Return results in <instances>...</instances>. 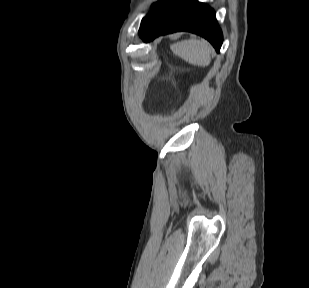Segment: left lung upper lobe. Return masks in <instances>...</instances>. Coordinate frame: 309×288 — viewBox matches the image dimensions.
Returning <instances> with one entry per match:
<instances>
[{
    "label": "left lung upper lobe",
    "mask_w": 309,
    "mask_h": 288,
    "mask_svg": "<svg viewBox=\"0 0 309 288\" xmlns=\"http://www.w3.org/2000/svg\"><path fill=\"white\" fill-rule=\"evenodd\" d=\"M145 19V17L143 18V20ZM143 20H142V22H143ZM142 22H141V24H142Z\"/></svg>",
    "instance_id": "1"
}]
</instances>
